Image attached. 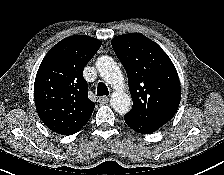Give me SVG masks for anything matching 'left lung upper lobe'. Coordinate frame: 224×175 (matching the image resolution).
<instances>
[{
  "instance_id": "5c2ea615",
  "label": "left lung upper lobe",
  "mask_w": 224,
  "mask_h": 175,
  "mask_svg": "<svg viewBox=\"0 0 224 175\" xmlns=\"http://www.w3.org/2000/svg\"><path fill=\"white\" fill-rule=\"evenodd\" d=\"M112 47L123 64L133 101L124 118L145 124H166L181 98L175 66L163 49L140 33L115 37Z\"/></svg>"
}]
</instances>
